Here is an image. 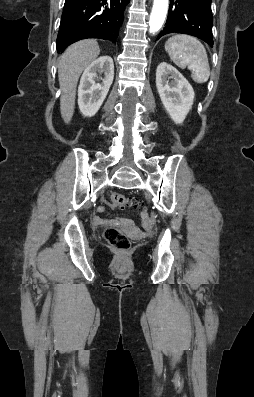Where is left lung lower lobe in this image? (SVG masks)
Wrapping results in <instances>:
<instances>
[{
    "instance_id": "1",
    "label": "left lung lower lobe",
    "mask_w": 254,
    "mask_h": 397,
    "mask_svg": "<svg viewBox=\"0 0 254 397\" xmlns=\"http://www.w3.org/2000/svg\"><path fill=\"white\" fill-rule=\"evenodd\" d=\"M172 32L196 36L213 46L211 0H170L167 22L157 39Z\"/></svg>"
}]
</instances>
